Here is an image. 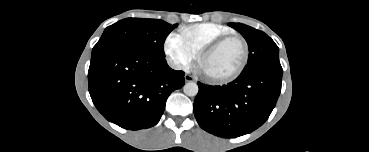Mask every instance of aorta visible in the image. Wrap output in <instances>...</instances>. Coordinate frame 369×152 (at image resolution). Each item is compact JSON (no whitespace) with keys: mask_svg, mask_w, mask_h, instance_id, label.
I'll return each instance as SVG.
<instances>
[{"mask_svg":"<svg viewBox=\"0 0 369 152\" xmlns=\"http://www.w3.org/2000/svg\"><path fill=\"white\" fill-rule=\"evenodd\" d=\"M198 85L195 82H187L183 86V91L187 96H196L198 93Z\"/></svg>","mask_w":369,"mask_h":152,"instance_id":"1","label":"aorta"}]
</instances>
